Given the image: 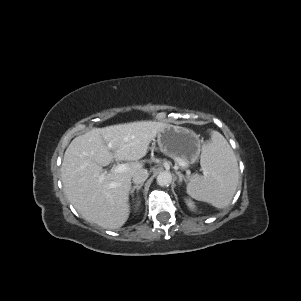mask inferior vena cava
Returning a JSON list of instances; mask_svg holds the SVG:
<instances>
[{
    "instance_id": "inferior-vena-cava-1",
    "label": "inferior vena cava",
    "mask_w": 301,
    "mask_h": 301,
    "mask_svg": "<svg viewBox=\"0 0 301 301\" xmlns=\"http://www.w3.org/2000/svg\"><path fill=\"white\" fill-rule=\"evenodd\" d=\"M148 176H149V173H148L147 169L141 168V169H138L134 173L132 180L135 184L138 185V184L144 183L146 181V179L148 178Z\"/></svg>"
}]
</instances>
